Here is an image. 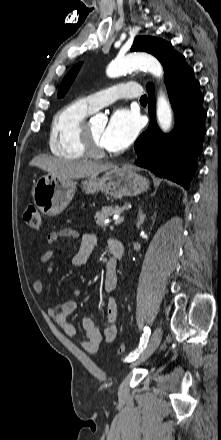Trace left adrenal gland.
<instances>
[{"label":"left adrenal gland","mask_w":221,"mask_h":440,"mask_svg":"<svg viewBox=\"0 0 221 440\" xmlns=\"http://www.w3.org/2000/svg\"><path fill=\"white\" fill-rule=\"evenodd\" d=\"M146 218V215L143 214V211L141 209V207L139 208V212H138V224L142 225L144 223V220Z\"/></svg>","instance_id":"obj_1"}]
</instances>
